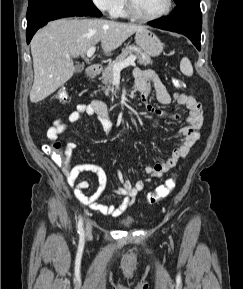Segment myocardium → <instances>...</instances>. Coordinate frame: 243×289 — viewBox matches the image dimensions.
<instances>
[{
  "mask_svg": "<svg viewBox=\"0 0 243 289\" xmlns=\"http://www.w3.org/2000/svg\"><path fill=\"white\" fill-rule=\"evenodd\" d=\"M125 2V9L127 14L137 20H141V21H154V20H158L161 19L165 16H167L173 8V4H174V0H167V6L165 8V10L157 15H153V16H146L141 14L135 7L133 0H124Z\"/></svg>",
  "mask_w": 243,
  "mask_h": 289,
  "instance_id": "myocardium-1",
  "label": "myocardium"
}]
</instances>
